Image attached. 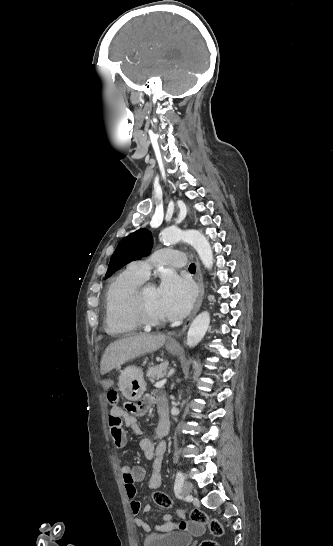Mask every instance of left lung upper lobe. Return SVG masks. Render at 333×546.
<instances>
[{
  "label": "left lung upper lobe",
  "instance_id": "1",
  "mask_svg": "<svg viewBox=\"0 0 333 546\" xmlns=\"http://www.w3.org/2000/svg\"><path fill=\"white\" fill-rule=\"evenodd\" d=\"M152 246L153 238L147 229L137 230L123 238L111 256L106 278L129 262L148 256Z\"/></svg>",
  "mask_w": 333,
  "mask_h": 546
}]
</instances>
